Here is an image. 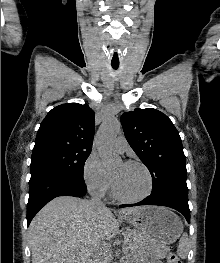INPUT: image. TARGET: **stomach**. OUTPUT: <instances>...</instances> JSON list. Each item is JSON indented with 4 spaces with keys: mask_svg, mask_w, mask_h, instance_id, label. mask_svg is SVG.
I'll return each instance as SVG.
<instances>
[{
    "mask_svg": "<svg viewBox=\"0 0 220 263\" xmlns=\"http://www.w3.org/2000/svg\"><path fill=\"white\" fill-rule=\"evenodd\" d=\"M139 233V247L150 249L174 243L183 231V223L165 207L147 206L125 219Z\"/></svg>",
    "mask_w": 220,
    "mask_h": 263,
    "instance_id": "obj_1",
    "label": "stomach"
}]
</instances>
